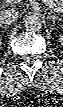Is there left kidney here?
<instances>
[{"instance_id": "obj_1", "label": "left kidney", "mask_w": 63, "mask_h": 107, "mask_svg": "<svg viewBox=\"0 0 63 107\" xmlns=\"http://www.w3.org/2000/svg\"><path fill=\"white\" fill-rule=\"evenodd\" d=\"M60 42L63 43V36H60Z\"/></svg>"}]
</instances>
